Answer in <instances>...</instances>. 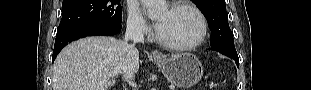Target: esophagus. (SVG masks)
Masks as SVG:
<instances>
[{
    "label": "esophagus",
    "mask_w": 311,
    "mask_h": 90,
    "mask_svg": "<svg viewBox=\"0 0 311 90\" xmlns=\"http://www.w3.org/2000/svg\"><path fill=\"white\" fill-rule=\"evenodd\" d=\"M152 56H153L154 58H161V53L158 52L157 50H154V51L152 52Z\"/></svg>",
    "instance_id": "obj_1"
}]
</instances>
